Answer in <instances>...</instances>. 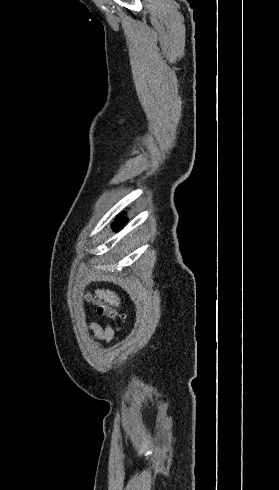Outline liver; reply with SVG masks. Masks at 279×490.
Wrapping results in <instances>:
<instances>
[{
    "label": "liver",
    "mask_w": 279,
    "mask_h": 490,
    "mask_svg": "<svg viewBox=\"0 0 279 490\" xmlns=\"http://www.w3.org/2000/svg\"><path fill=\"white\" fill-rule=\"evenodd\" d=\"M95 294H97L98 298H102L105 302H108L110 306H119L120 298L116 296L115 292H111V290H95Z\"/></svg>",
    "instance_id": "obj_1"
}]
</instances>
